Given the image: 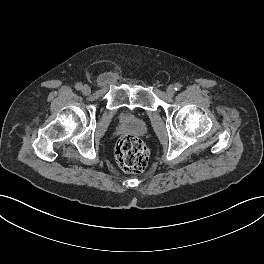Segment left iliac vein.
<instances>
[{
	"mask_svg": "<svg viewBox=\"0 0 264 264\" xmlns=\"http://www.w3.org/2000/svg\"><path fill=\"white\" fill-rule=\"evenodd\" d=\"M174 93H175L174 86H172V85L168 86V88H167V94H168V96H173Z\"/></svg>",
	"mask_w": 264,
	"mask_h": 264,
	"instance_id": "4c4485c4",
	"label": "left iliac vein"
}]
</instances>
